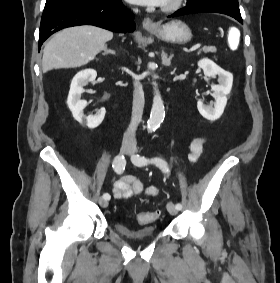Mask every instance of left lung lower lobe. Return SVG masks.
<instances>
[{
    "instance_id": "obj_1",
    "label": "left lung lower lobe",
    "mask_w": 280,
    "mask_h": 283,
    "mask_svg": "<svg viewBox=\"0 0 280 283\" xmlns=\"http://www.w3.org/2000/svg\"><path fill=\"white\" fill-rule=\"evenodd\" d=\"M200 12H215V13L226 14L228 16L235 18L237 21H239L240 23L243 24L241 17L235 16V15H233V14H231V13L225 11V10H222L220 8L206 6V5H187L186 7L178 10L177 12H175L174 14H172L168 17H177V16L186 15V14L200 13Z\"/></svg>"
}]
</instances>
